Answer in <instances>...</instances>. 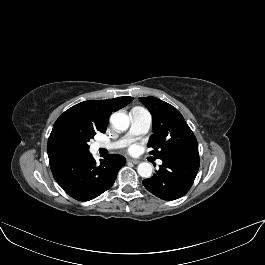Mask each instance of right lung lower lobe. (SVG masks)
I'll return each mask as SVG.
<instances>
[{
	"mask_svg": "<svg viewBox=\"0 0 265 265\" xmlns=\"http://www.w3.org/2000/svg\"><path fill=\"white\" fill-rule=\"evenodd\" d=\"M125 158L109 154L96 163L90 153L71 156L50 164L52 174L60 187L79 201H89L114 183Z\"/></svg>",
	"mask_w": 265,
	"mask_h": 265,
	"instance_id": "98d812e1",
	"label": "right lung lower lobe"
}]
</instances>
